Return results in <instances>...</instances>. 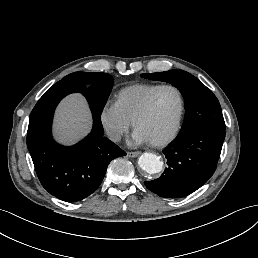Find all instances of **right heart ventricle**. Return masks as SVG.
I'll return each mask as SVG.
<instances>
[{"label": "right heart ventricle", "instance_id": "obj_1", "mask_svg": "<svg viewBox=\"0 0 258 258\" xmlns=\"http://www.w3.org/2000/svg\"><path fill=\"white\" fill-rule=\"evenodd\" d=\"M156 84H136L120 90L115 99V105L131 123L143 109L148 96L158 87Z\"/></svg>", "mask_w": 258, "mask_h": 258}]
</instances>
